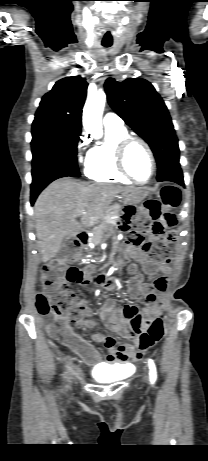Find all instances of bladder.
<instances>
[{
    "instance_id": "bladder-1",
    "label": "bladder",
    "mask_w": 208,
    "mask_h": 461,
    "mask_svg": "<svg viewBox=\"0 0 208 461\" xmlns=\"http://www.w3.org/2000/svg\"><path fill=\"white\" fill-rule=\"evenodd\" d=\"M121 365H109L101 363L96 365L91 374L94 380L101 383L115 382L123 378Z\"/></svg>"
}]
</instances>
